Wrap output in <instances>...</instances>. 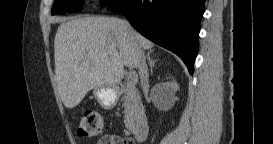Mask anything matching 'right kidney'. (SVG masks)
<instances>
[{"mask_svg":"<svg viewBox=\"0 0 273 144\" xmlns=\"http://www.w3.org/2000/svg\"><path fill=\"white\" fill-rule=\"evenodd\" d=\"M156 89L161 92L165 98H174L175 91L178 89V85L175 82L161 83L155 86Z\"/></svg>","mask_w":273,"mask_h":144,"instance_id":"right-kidney-1","label":"right kidney"}]
</instances>
